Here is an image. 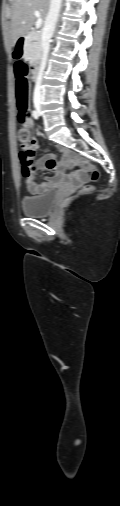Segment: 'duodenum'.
I'll return each mask as SVG.
<instances>
[{
  "label": "duodenum",
  "instance_id": "410a0bca",
  "mask_svg": "<svg viewBox=\"0 0 120 506\" xmlns=\"http://www.w3.org/2000/svg\"><path fill=\"white\" fill-rule=\"evenodd\" d=\"M25 42H26V35H21L18 38L17 45L15 46V49H14L15 50L14 56L16 58L20 59V58H24L26 56V51H25V47H24ZM31 73H32V79L34 81H36L39 77V63L38 62L33 63Z\"/></svg>",
  "mask_w": 120,
  "mask_h": 506
}]
</instances>
